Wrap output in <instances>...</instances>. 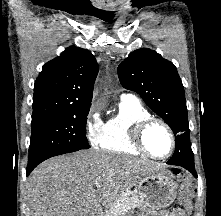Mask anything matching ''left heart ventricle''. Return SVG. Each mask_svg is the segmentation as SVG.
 Masks as SVG:
<instances>
[{
  "label": "left heart ventricle",
  "instance_id": "1",
  "mask_svg": "<svg viewBox=\"0 0 221 216\" xmlns=\"http://www.w3.org/2000/svg\"><path fill=\"white\" fill-rule=\"evenodd\" d=\"M146 145L152 153L160 156L166 155L171 149L170 137L160 125L149 128L146 134Z\"/></svg>",
  "mask_w": 221,
  "mask_h": 216
}]
</instances>
